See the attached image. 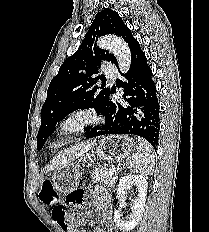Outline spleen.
I'll return each instance as SVG.
<instances>
[{
    "instance_id": "spleen-1",
    "label": "spleen",
    "mask_w": 209,
    "mask_h": 232,
    "mask_svg": "<svg viewBox=\"0 0 209 232\" xmlns=\"http://www.w3.org/2000/svg\"><path fill=\"white\" fill-rule=\"evenodd\" d=\"M136 153L128 157V165L136 173L151 175L154 171L155 154L151 145L144 139H138Z\"/></svg>"
}]
</instances>
